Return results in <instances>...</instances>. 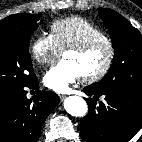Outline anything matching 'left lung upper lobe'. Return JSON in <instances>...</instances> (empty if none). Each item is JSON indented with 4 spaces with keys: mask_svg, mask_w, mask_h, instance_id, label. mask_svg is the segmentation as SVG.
<instances>
[{
    "mask_svg": "<svg viewBox=\"0 0 142 142\" xmlns=\"http://www.w3.org/2000/svg\"><path fill=\"white\" fill-rule=\"evenodd\" d=\"M114 47V59L105 77L91 87L105 91L123 89L142 92V35L116 11L99 8Z\"/></svg>",
    "mask_w": 142,
    "mask_h": 142,
    "instance_id": "left-lung-upper-lobe-1",
    "label": "left lung upper lobe"
}]
</instances>
